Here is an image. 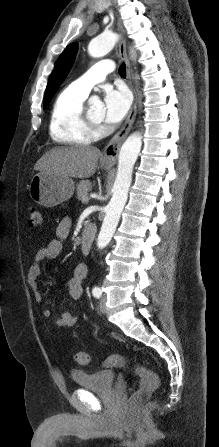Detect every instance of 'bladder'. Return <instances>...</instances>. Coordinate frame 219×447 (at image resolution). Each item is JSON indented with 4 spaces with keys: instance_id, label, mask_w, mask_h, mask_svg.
Wrapping results in <instances>:
<instances>
[{
    "instance_id": "1",
    "label": "bladder",
    "mask_w": 219,
    "mask_h": 447,
    "mask_svg": "<svg viewBox=\"0 0 219 447\" xmlns=\"http://www.w3.org/2000/svg\"><path fill=\"white\" fill-rule=\"evenodd\" d=\"M71 379L81 389L88 391H107L110 390L116 381V373L111 370L84 371L72 370Z\"/></svg>"
}]
</instances>
